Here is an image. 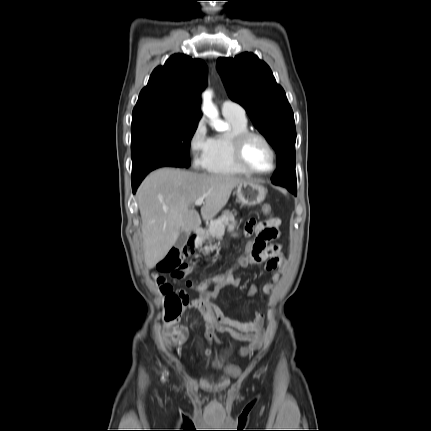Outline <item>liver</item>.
I'll return each instance as SVG.
<instances>
[{
	"instance_id": "6515ba94",
	"label": "liver",
	"mask_w": 431,
	"mask_h": 431,
	"mask_svg": "<svg viewBox=\"0 0 431 431\" xmlns=\"http://www.w3.org/2000/svg\"><path fill=\"white\" fill-rule=\"evenodd\" d=\"M245 181L173 168L150 173L137 190L146 267L154 268L168 254L181 231L190 233L200 227L199 214L192 209L198 198H204L202 219L210 221L227 204L232 190Z\"/></svg>"
}]
</instances>
